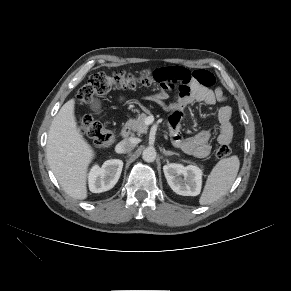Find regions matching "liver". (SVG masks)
<instances>
[{"label": "liver", "instance_id": "1", "mask_svg": "<svg viewBox=\"0 0 291 291\" xmlns=\"http://www.w3.org/2000/svg\"><path fill=\"white\" fill-rule=\"evenodd\" d=\"M46 155L63 190L75 199H86L87 171L95 152L77 126L74 99L67 101L53 119Z\"/></svg>", "mask_w": 291, "mask_h": 291}]
</instances>
